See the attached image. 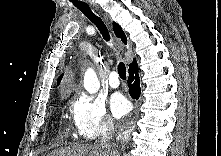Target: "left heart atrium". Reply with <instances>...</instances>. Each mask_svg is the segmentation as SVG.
<instances>
[{"label": "left heart atrium", "mask_w": 221, "mask_h": 156, "mask_svg": "<svg viewBox=\"0 0 221 156\" xmlns=\"http://www.w3.org/2000/svg\"><path fill=\"white\" fill-rule=\"evenodd\" d=\"M112 114L120 118L129 111V102L121 94H115L110 101Z\"/></svg>", "instance_id": "1"}]
</instances>
